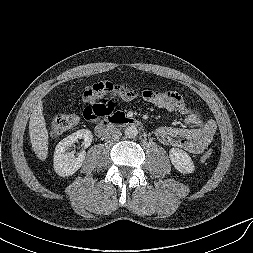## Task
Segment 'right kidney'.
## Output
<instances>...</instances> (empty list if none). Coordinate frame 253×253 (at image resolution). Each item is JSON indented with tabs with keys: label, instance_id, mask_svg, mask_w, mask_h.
I'll list each match as a JSON object with an SVG mask.
<instances>
[{
	"label": "right kidney",
	"instance_id": "right-kidney-1",
	"mask_svg": "<svg viewBox=\"0 0 253 253\" xmlns=\"http://www.w3.org/2000/svg\"><path fill=\"white\" fill-rule=\"evenodd\" d=\"M93 135L90 130L81 129L61 140L54 152V170L62 177L73 175L82 166L85 160L86 152L83 150L78 154V157L68 149L78 141L84 139V146L89 147L92 142Z\"/></svg>",
	"mask_w": 253,
	"mask_h": 253
}]
</instances>
